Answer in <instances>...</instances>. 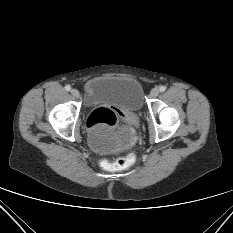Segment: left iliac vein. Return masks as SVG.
Here are the masks:
<instances>
[{
  "instance_id": "4c4485c4",
  "label": "left iliac vein",
  "mask_w": 233,
  "mask_h": 233,
  "mask_svg": "<svg viewBox=\"0 0 233 233\" xmlns=\"http://www.w3.org/2000/svg\"><path fill=\"white\" fill-rule=\"evenodd\" d=\"M158 94H159V89H158V88H153V89L151 90V92H150V97H151V98H155V97L158 96Z\"/></svg>"
}]
</instances>
